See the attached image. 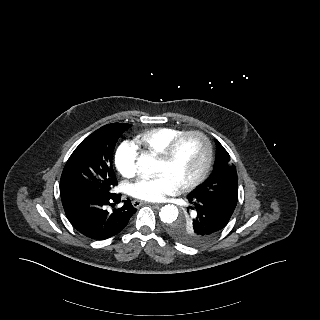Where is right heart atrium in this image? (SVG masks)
Masks as SVG:
<instances>
[{"mask_svg": "<svg viewBox=\"0 0 320 320\" xmlns=\"http://www.w3.org/2000/svg\"><path fill=\"white\" fill-rule=\"evenodd\" d=\"M138 149L128 140L123 141L115 153V165L118 172L124 177H132L136 173Z\"/></svg>", "mask_w": 320, "mask_h": 320, "instance_id": "1", "label": "right heart atrium"}]
</instances>
